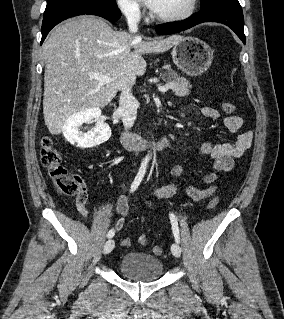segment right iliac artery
Listing matches in <instances>:
<instances>
[{"label":"right iliac artery","mask_w":284,"mask_h":319,"mask_svg":"<svg viewBox=\"0 0 284 319\" xmlns=\"http://www.w3.org/2000/svg\"><path fill=\"white\" fill-rule=\"evenodd\" d=\"M147 163H148V160H144L141 164V167L131 185V188H130V192H134L138 186L140 185L144 175H145V172H146V168H147ZM115 234V231L113 229H111L108 234H107V237L108 238H112Z\"/></svg>","instance_id":"1"}]
</instances>
